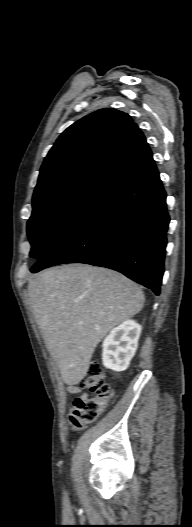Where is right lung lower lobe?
<instances>
[{"mask_svg":"<svg viewBox=\"0 0 192 527\" xmlns=\"http://www.w3.org/2000/svg\"><path fill=\"white\" fill-rule=\"evenodd\" d=\"M169 221L166 193L147 146L106 182L30 271L86 263L119 271L159 295Z\"/></svg>","mask_w":192,"mask_h":527,"instance_id":"98d812e1","label":"right lung lower lobe"}]
</instances>
